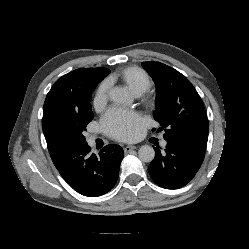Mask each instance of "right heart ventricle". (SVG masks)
<instances>
[{"label":"right heart ventricle","mask_w":249,"mask_h":249,"mask_svg":"<svg viewBox=\"0 0 249 249\" xmlns=\"http://www.w3.org/2000/svg\"><path fill=\"white\" fill-rule=\"evenodd\" d=\"M111 79L122 81L136 96L143 94L152 84L149 75L142 68L136 66L126 67L114 73Z\"/></svg>","instance_id":"1"}]
</instances>
